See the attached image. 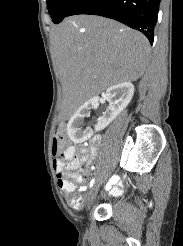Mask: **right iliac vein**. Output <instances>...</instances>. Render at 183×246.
Segmentation results:
<instances>
[{
	"label": "right iliac vein",
	"mask_w": 183,
	"mask_h": 246,
	"mask_svg": "<svg viewBox=\"0 0 183 246\" xmlns=\"http://www.w3.org/2000/svg\"><path fill=\"white\" fill-rule=\"evenodd\" d=\"M98 187L95 185L89 192L88 201L91 203L97 195Z\"/></svg>",
	"instance_id": "63e3f726"
}]
</instances>
